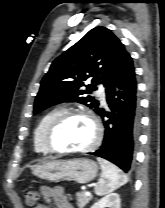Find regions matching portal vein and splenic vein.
<instances>
[{"mask_svg": "<svg viewBox=\"0 0 165 208\" xmlns=\"http://www.w3.org/2000/svg\"><path fill=\"white\" fill-rule=\"evenodd\" d=\"M85 195L89 196V195H91V193L89 191H86Z\"/></svg>", "mask_w": 165, "mask_h": 208, "instance_id": "18ae733b", "label": "portal vein and splenic vein"}]
</instances>
